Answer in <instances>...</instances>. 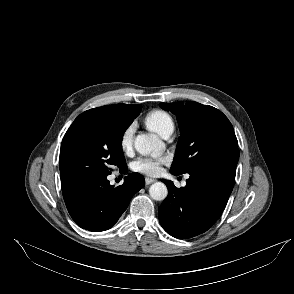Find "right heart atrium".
I'll list each match as a JSON object with an SVG mask.
<instances>
[{
  "label": "right heart atrium",
  "instance_id": "obj_1",
  "mask_svg": "<svg viewBox=\"0 0 294 294\" xmlns=\"http://www.w3.org/2000/svg\"><path fill=\"white\" fill-rule=\"evenodd\" d=\"M135 129V123H131L124 129L121 134L120 147L125 153L129 152L132 148Z\"/></svg>",
  "mask_w": 294,
  "mask_h": 294
}]
</instances>
